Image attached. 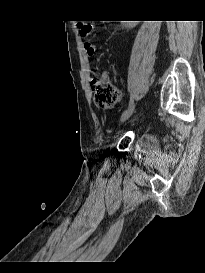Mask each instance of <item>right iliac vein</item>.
Masks as SVG:
<instances>
[{"label": "right iliac vein", "instance_id": "right-iliac-vein-1", "mask_svg": "<svg viewBox=\"0 0 205 273\" xmlns=\"http://www.w3.org/2000/svg\"><path fill=\"white\" fill-rule=\"evenodd\" d=\"M134 109H135V105H131L130 107H128L124 112L123 114L121 115V118H120V123H123L125 122L126 120H128L133 112H134Z\"/></svg>", "mask_w": 205, "mask_h": 273}]
</instances>
